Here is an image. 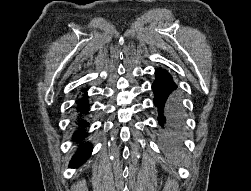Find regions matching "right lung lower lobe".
Masks as SVG:
<instances>
[{"label": "right lung lower lobe", "instance_id": "1", "mask_svg": "<svg viewBox=\"0 0 251 191\" xmlns=\"http://www.w3.org/2000/svg\"><path fill=\"white\" fill-rule=\"evenodd\" d=\"M83 99H79L77 103L76 112L78 115L76 116V120L74 124L76 126V131L73 134L72 139L75 140L78 144V150L75 155L72 157L69 167L77 168L79 165L83 164L91 155L92 145L89 142H84L85 139V129L90 124L87 122L85 116L88 115L89 104L87 102V91L82 90Z\"/></svg>", "mask_w": 251, "mask_h": 191}]
</instances>
